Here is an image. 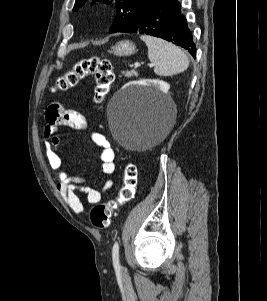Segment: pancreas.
<instances>
[{"label": "pancreas", "instance_id": "cf45deb5", "mask_svg": "<svg viewBox=\"0 0 267 301\" xmlns=\"http://www.w3.org/2000/svg\"><path fill=\"white\" fill-rule=\"evenodd\" d=\"M126 77L131 78L133 76H138V73L135 70L122 72Z\"/></svg>", "mask_w": 267, "mask_h": 301}]
</instances>
